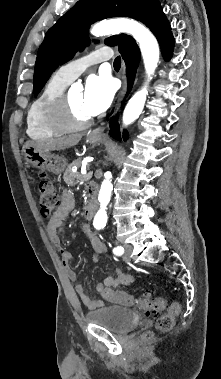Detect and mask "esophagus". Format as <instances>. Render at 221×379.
<instances>
[{
    "mask_svg": "<svg viewBox=\"0 0 221 379\" xmlns=\"http://www.w3.org/2000/svg\"><path fill=\"white\" fill-rule=\"evenodd\" d=\"M126 91H127V78L125 75V64L123 63L122 64V87H121V90L119 91L117 102H116L113 114H115L119 110L121 103H122V100L126 94ZM105 128H106V125H102L96 129H94L92 132V136L104 135Z\"/></svg>",
    "mask_w": 221,
    "mask_h": 379,
    "instance_id": "esophagus-1",
    "label": "esophagus"
}]
</instances>
